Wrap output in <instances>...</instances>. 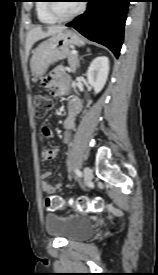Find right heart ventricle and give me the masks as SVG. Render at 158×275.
<instances>
[{
	"instance_id": "right-heart-ventricle-1",
	"label": "right heart ventricle",
	"mask_w": 158,
	"mask_h": 275,
	"mask_svg": "<svg viewBox=\"0 0 158 275\" xmlns=\"http://www.w3.org/2000/svg\"><path fill=\"white\" fill-rule=\"evenodd\" d=\"M48 0H39L36 4V13L40 22L45 24H53L58 20L55 19L48 11Z\"/></svg>"
}]
</instances>
